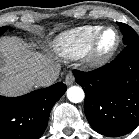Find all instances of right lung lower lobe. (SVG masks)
I'll list each match as a JSON object with an SVG mask.
<instances>
[{
  "label": "right lung lower lobe",
  "mask_w": 139,
  "mask_h": 139,
  "mask_svg": "<svg viewBox=\"0 0 139 139\" xmlns=\"http://www.w3.org/2000/svg\"><path fill=\"white\" fill-rule=\"evenodd\" d=\"M67 87L58 82L20 97L0 96V139H38Z\"/></svg>",
  "instance_id": "right-lung-lower-lobe-1"
}]
</instances>
